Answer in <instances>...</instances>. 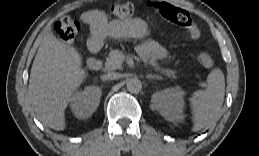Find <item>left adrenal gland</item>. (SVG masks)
<instances>
[{"mask_svg":"<svg viewBox=\"0 0 259 156\" xmlns=\"http://www.w3.org/2000/svg\"><path fill=\"white\" fill-rule=\"evenodd\" d=\"M147 79H162L159 75H152V74H148L146 76Z\"/></svg>","mask_w":259,"mask_h":156,"instance_id":"obj_1","label":"left adrenal gland"}]
</instances>
